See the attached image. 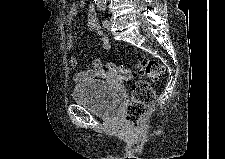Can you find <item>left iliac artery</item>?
<instances>
[{
    "instance_id": "44dca946",
    "label": "left iliac artery",
    "mask_w": 225,
    "mask_h": 159,
    "mask_svg": "<svg viewBox=\"0 0 225 159\" xmlns=\"http://www.w3.org/2000/svg\"><path fill=\"white\" fill-rule=\"evenodd\" d=\"M99 10L101 12H105L106 7H99ZM102 24H103L104 27H106L108 25V20L106 18H104L103 21H102Z\"/></svg>"
}]
</instances>
